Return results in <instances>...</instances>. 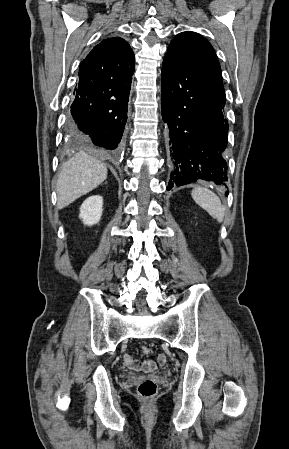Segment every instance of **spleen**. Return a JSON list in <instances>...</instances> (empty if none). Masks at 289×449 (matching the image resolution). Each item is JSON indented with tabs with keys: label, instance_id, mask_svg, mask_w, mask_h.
I'll return each instance as SVG.
<instances>
[{
	"label": "spleen",
	"instance_id": "1",
	"mask_svg": "<svg viewBox=\"0 0 289 449\" xmlns=\"http://www.w3.org/2000/svg\"><path fill=\"white\" fill-rule=\"evenodd\" d=\"M194 201L208 212L218 222L224 219V207L220 198L211 190L204 187H196L191 192Z\"/></svg>",
	"mask_w": 289,
	"mask_h": 449
}]
</instances>
